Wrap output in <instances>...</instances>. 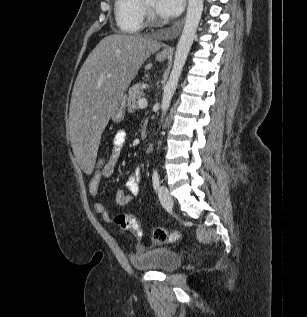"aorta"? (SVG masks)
<instances>
[{"label":"aorta","mask_w":307,"mask_h":317,"mask_svg":"<svg viewBox=\"0 0 307 317\" xmlns=\"http://www.w3.org/2000/svg\"><path fill=\"white\" fill-rule=\"evenodd\" d=\"M203 2L204 0H189L188 2L183 32L178 41L173 67L163 91L161 121H163V118L170 107L171 99L176 91L179 78L193 44L203 11Z\"/></svg>","instance_id":"obj_1"}]
</instances>
